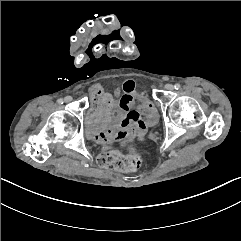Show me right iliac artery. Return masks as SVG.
<instances>
[{
	"mask_svg": "<svg viewBox=\"0 0 241 241\" xmlns=\"http://www.w3.org/2000/svg\"><path fill=\"white\" fill-rule=\"evenodd\" d=\"M57 102L58 104H63V99H58Z\"/></svg>",
	"mask_w": 241,
	"mask_h": 241,
	"instance_id": "1",
	"label": "right iliac artery"
}]
</instances>
